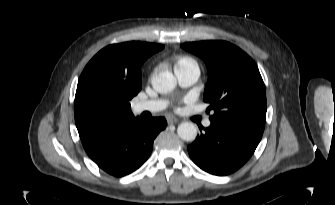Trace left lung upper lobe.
Here are the masks:
<instances>
[{
	"instance_id": "5c2ea615",
	"label": "left lung upper lobe",
	"mask_w": 335,
	"mask_h": 205,
	"mask_svg": "<svg viewBox=\"0 0 335 205\" xmlns=\"http://www.w3.org/2000/svg\"><path fill=\"white\" fill-rule=\"evenodd\" d=\"M185 50L204 60L208 82L203 100L221 119L263 133L267 110L265 85L255 62L226 41L184 43Z\"/></svg>"
}]
</instances>
